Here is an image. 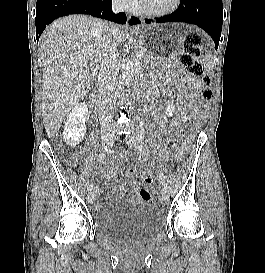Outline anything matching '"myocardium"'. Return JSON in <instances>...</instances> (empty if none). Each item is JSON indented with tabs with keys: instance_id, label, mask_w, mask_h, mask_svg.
Returning <instances> with one entry per match:
<instances>
[{
	"instance_id": "myocardium-1",
	"label": "myocardium",
	"mask_w": 265,
	"mask_h": 273,
	"mask_svg": "<svg viewBox=\"0 0 265 273\" xmlns=\"http://www.w3.org/2000/svg\"><path fill=\"white\" fill-rule=\"evenodd\" d=\"M180 4L181 0H173L171 6H169L168 8L156 10L149 8L144 3H142L139 7V11L150 17H164L174 13L179 8Z\"/></svg>"
}]
</instances>
